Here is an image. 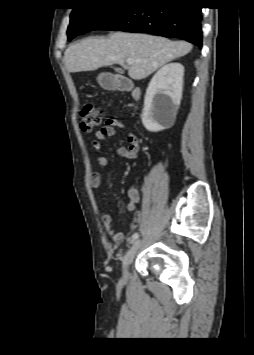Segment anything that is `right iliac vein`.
Masks as SVG:
<instances>
[{"label":"right iliac vein","mask_w":254,"mask_h":355,"mask_svg":"<svg viewBox=\"0 0 254 355\" xmlns=\"http://www.w3.org/2000/svg\"><path fill=\"white\" fill-rule=\"evenodd\" d=\"M141 245L140 240H136L133 242L132 246L130 249L126 252L123 261H122V279L123 281H127L128 279V266L130 263L133 261L139 247Z\"/></svg>","instance_id":"right-iliac-vein-1"}]
</instances>
